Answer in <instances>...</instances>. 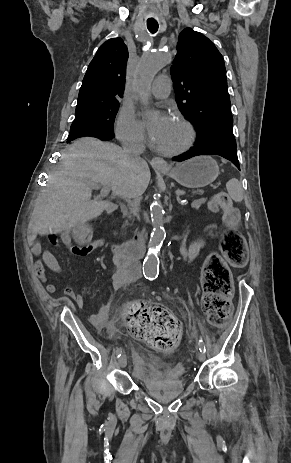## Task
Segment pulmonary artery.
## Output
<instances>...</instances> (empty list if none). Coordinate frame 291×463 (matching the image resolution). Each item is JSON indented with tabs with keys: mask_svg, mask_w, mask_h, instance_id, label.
Instances as JSON below:
<instances>
[{
	"mask_svg": "<svg viewBox=\"0 0 291 463\" xmlns=\"http://www.w3.org/2000/svg\"><path fill=\"white\" fill-rule=\"evenodd\" d=\"M171 91V79L168 75L158 76L150 88V94L157 99L168 97Z\"/></svg>",
	"mask_w": 291,
	"mask_h": 463,
	"instance_id": "1",
	"label": "pulmonary artery"
}]
</instances>
